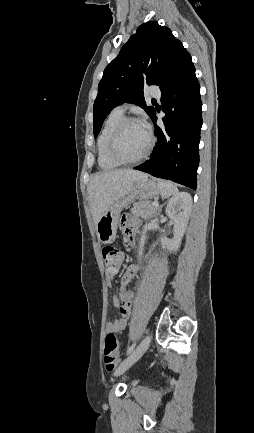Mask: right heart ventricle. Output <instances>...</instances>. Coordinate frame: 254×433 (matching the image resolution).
Returning <instances> with one entry per match:
<instances>
[{
	"label": "right heart ventricle",
	"mask_w": 254,
	"mask_h": 433,
	"mask_svg": "<svg viewBox=\"0 0 254 433\" xmlns=\"http://www.w3.org/2000/svg\"><path fill=\"white\" fill-rule=\"evenodd\" d=\"M122 119H123L122 113L112 111L108 115L102 127V130L99 134L97 140V160H98L99 167L103 170H113L120 165L109 157L107 152V146L112 131Z\"/></svg>",
	"instance_id": "right-heart-ventricle-1"
}]
</instances>
